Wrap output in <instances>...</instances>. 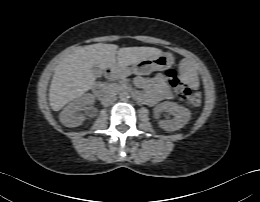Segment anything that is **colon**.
Here are the masks:
<instances>
[{
  "label": "colon",
  "instance_id": "obj_1",
  "mask_svg": "<svg viewBox=\"0 0 260 202\" xmlns=\"http://www.w3.org/2000/svg\"><path fill=\"white\" fill-rule=\"evenodd\" d=\"M166 77L176 97L191 106L200 105L202 100L201 93L198 91H190L174 68H169L166 71Z\"/></svg>",
  "mask_w": 260,
  "mask_h": 202
}]
</instances>
